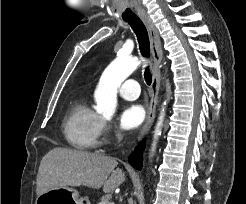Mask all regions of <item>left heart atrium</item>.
Masks as SVG:
<instances>
[{
  "label": "left heart atrium",
  "instance_id": "39dd6f15",
  "mask_svg": "<svg viewBox=\"0 0 246 204\" xmlns=\"http://www.w3.org/2000/svg\"><path fill=\"white\" fill-rule=\"evenodd\" d=\"M146 116L145 109L142 105H127L121 111L118 124L123 130H133L138 128L144 121Z\"/></svg>",
  "mask_w": 246,
  "mask_h": 204
}]
</instances>
